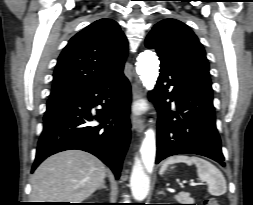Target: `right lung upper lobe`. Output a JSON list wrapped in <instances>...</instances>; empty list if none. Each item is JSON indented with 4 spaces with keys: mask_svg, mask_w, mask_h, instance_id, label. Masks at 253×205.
Segmentation results:
<instances>
[{
    "mask_svg": "<svg viewBox=\"0 0 253 205\" xmlns=\"http://www.w3.org/2000/svg\"><path fill=\"white\" fill-rule=\"evenodd\" d=\"M128 42L119 25L100 19L72 37L58 58L50 97L99 85L123 71Z\"/></svg>",
    "mask_w": 253,
    "mask_h": 205,
    "instance_id": "obj_1",
    "label": "right lung upper lobe"
}]
</instances>
